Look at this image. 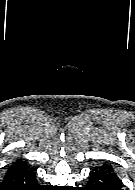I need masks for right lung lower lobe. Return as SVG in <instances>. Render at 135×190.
<instances>
[{
	"label": "right lung lower lobe",
	"mask_w": 135,
	"mask_h": 190,
	"mask_svg": "<svg viewBox=\"0 0 135 190\" xmlns=\"http://www.w3.org/2000/svg\"><path fill=\"white\" fill-rule=\"evenodd\" d=\"M0 190H43V187L37 184L33 169L18 159L8 167L4 181L0 182Z\"/></svg>",
	"instance_id": "98d812e1"
}]
</instances>
